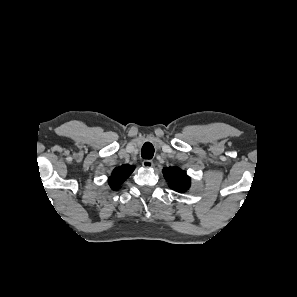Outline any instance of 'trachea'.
<instances>
[{
    "instance_id": "3493384b",
    "label": "trachea",
    "mask_w": 297,
    "mask_h": 297,
    "mask_svg": "<svg viewBox=\"0 0 297 297\" xmlns=\"http://www.w3.org/2000/svg\"><path fill=\"white\" fill-rule=\"evenodd\" d=\"M154 155V147L150 143H145L141 150V156L144 159H151Z\"/></svg>"
}]
</instances>
